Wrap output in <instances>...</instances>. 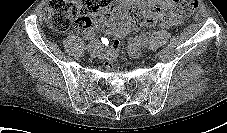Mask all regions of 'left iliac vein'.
<instances>
[{
	"label": "left iliac vein",
	"mask_w": 227,
	"mask_h": 133,
	"mask_svg": "<svg viewBox=\"0 0 227 133\" xmlns=\"http://www.w3.org/2000/svg\"><path fill=\"white\" fill-rule=\"evenodd\" d=\"M128 53L133 58H140L142 56V50L136 46L130 45L128 47Z\"/></svg>",
	"instance_id": "left-iliac-vein-1"
}]
</instances>
